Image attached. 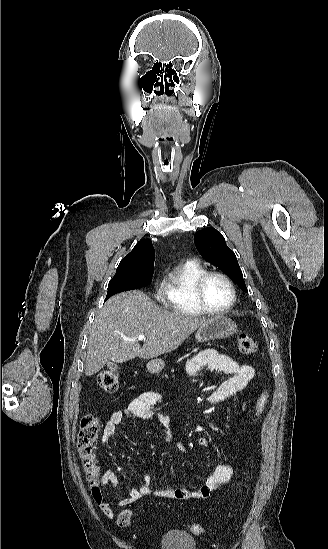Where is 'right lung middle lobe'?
Instances as JSON below:
<instances>
[{"mask_svg":"<svg viewBox=\"0 0 328 549\" xmlns=\"http://www.w3.org/2000/svg\"><path fill=\"white\" fill-rule=\"evenodd\" d=\"M154 261L143 262L129 268L116 271L108 284L106 300L112 295L146 286L151 283Z\"/></svg>","mask_w":328,"mask_h":549,"instance_id":"dd1d6c3e","label":"right lung middle lobe"}]
</instances>
